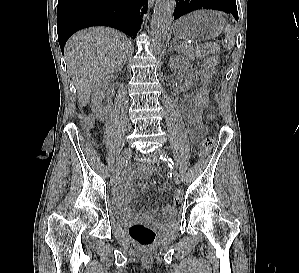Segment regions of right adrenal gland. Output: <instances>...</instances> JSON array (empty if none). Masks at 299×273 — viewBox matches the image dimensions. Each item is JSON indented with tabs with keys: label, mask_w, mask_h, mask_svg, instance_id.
I'll return each mask as SVG.
<instances>
[{
	"label": "right adrenal gland",
	"mask_w": 299,
	"mask_h": 273,
	"mask_svg": "<svg viewBox=\"0 0 299 273\" xmlns=\"http://www.w3.org/2000/svg\"><path fill=\"white\" fill-rule=\"evenodd\" d=\"M126 60H127V56L125 55L120 69H122L123 65L126 63Z\"/></svg>",
	"instance_id": "right-adrenal-gland-1"
}]
</instances>
